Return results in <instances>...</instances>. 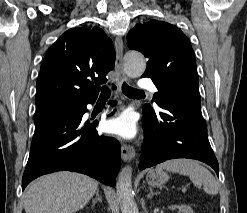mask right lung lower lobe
<instances>
[{"label": "right lung lower lobe", "mask_w": 247, "mask_h": 213, "mask_svg": "<svg viewBox=\"0 0 247 213\" xmlns=\"http://www.w3.org/2000/svg\"><path fill=\"white\" fill-rule=\"evenodd\" d=\"M115 88V87H114ZM94 99L58 98L34 115L35 132L22 178V190L35 178L55 171H75L115 186L121 166L120 145L112 137L99 136L98 122H83L86 105ZM72 105L77 110L60 108Z\"/></svg>", "instance_id": "obj_1"}]
</instances>
